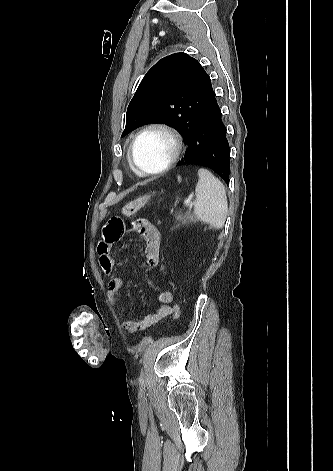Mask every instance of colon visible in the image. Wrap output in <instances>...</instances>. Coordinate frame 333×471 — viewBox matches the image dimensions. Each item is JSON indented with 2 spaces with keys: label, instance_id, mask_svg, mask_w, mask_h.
I'll return each mask as SVG.
<instances>
[{
  "label": "colon",
  "instance_id": "1",
  "mask_svg": "<svg viewBox=\"0 0 333 471\" xmlns=\"http://www.w3.org/2000/svg\"><path fill=\"white\" fill-rule=\"evenodd\" d=\"M153 193H148L143 196L138 197L135 200H132L128 203H126L123 208H122V214L125 216H132L136 212H138L144 205L148 203V201L151 199ZM174 315H173V321H176L179 316H180V307L178 304L174 305Z\"/></svg>",
  "mask_w": 333,
  "mask_h": 471
}]
</instances>
